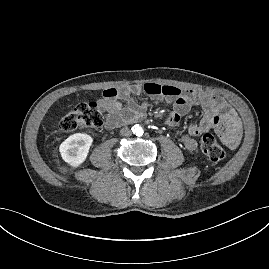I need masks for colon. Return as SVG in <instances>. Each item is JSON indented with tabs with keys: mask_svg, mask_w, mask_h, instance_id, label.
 Returning <instances> with one entry per match:
<instances>
[{
	"mask_svg": "<svg viewBox=\"0 0 269 269\" xmlns=\"http://www.w3.org/2000/svg\"><path fill=\"white\" fill-rule=\"evenodd\" d=\"M105 120L106 117L96 102L81 103L66 112L60 120L59 127L63 132H73L83 128L101 127ZM200 148L214 164L224 161L227 157L226 151L209 133L201 137Z\"/></svg>",
	"mask_w": 269,
	"mask_h": 269,
	"instance_id": "1",
	"label": "colon"
}]
</instances>
